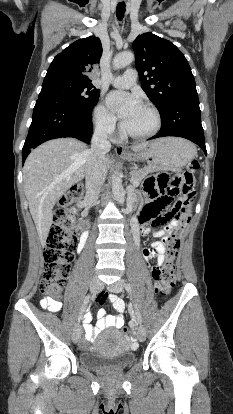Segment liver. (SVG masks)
Instances as JSON below:
<instances>
[{"label": "liver", "instance_id": "liver-1", "mask_svg": "<svg viewBox=\"0 0 233 414\" xmlns=\"http://www.w3.org/2000/svg\"><path fill=\"white\" fill-rule=\"evenodd\" d=\"M148 145L143 142L132 150L141 152ZM88 157L87 146L74 138L47 141L28 155L23 168L24 190L42 246L46 244L53 223L54 205L85 177ZM105 163L110 168L114 159L106 156Z\"/></svg>", "mask_w": 233, "mask_h": 414}]
</instances>
